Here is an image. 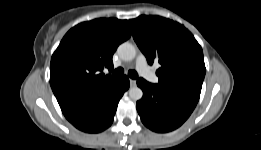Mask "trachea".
<instances>
[{"label": "trachea", "mask_w": 261, "mask_h": 150, "mask_svg": "<svg viewBox=\"0 0 261 150\" xmlns=\"http://www.w3.org/2000/svg\"><path fill=\"white\" fill-rule=\"evenodd\" d=\"M123 74H124V69L121 68V67L115 69L114 72H113V75H115V76H122ZM128 76H129L130 78H132V79L138 78V74H137V72L134 71V70H130V71L128 72Z\"/></svg>", "instance_id": "obj_1"}]
</instances>
